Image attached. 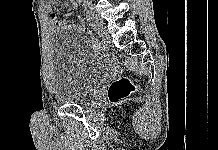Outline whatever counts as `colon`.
<instances>
[{
  "label": "colon",
  "instance_id": "obj_1",
  "mask_svg": "<svg viewBox=\"0 0 218 150\" xmlns=\"http://www.w3.org/2000/svg\"><path fill=\"white\" fill-rule=\"evenodd\" d=\"M136 89V85L127 77L114 80L108 87L107 96L111 103H119L128 98Z\"/></svg>",
  "mask_w": 218,
  "mask_h": 150
}]
</instances>
